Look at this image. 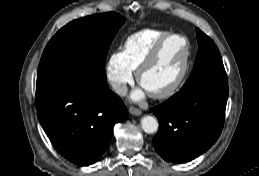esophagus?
<instances>
[{
    "mask_svg": "<svg viewBox=\"0 0 259 176\" xmlns=\"http://www.w3.org/2000/svg\"><path fill=\"white\" fill-rule=\"evenodd\" d=\"M129 112H130L132 115H135V116H139V115L142 114V111H141L140 109H138V108H136V107H133V106H131V107L129 108Z\"/></svg>",
    "mask_w": 259,
    "mask_h": 176,
    "instance_id": "obj_1",
    "label": "esophagus"
}]
</instances>
